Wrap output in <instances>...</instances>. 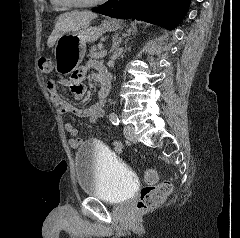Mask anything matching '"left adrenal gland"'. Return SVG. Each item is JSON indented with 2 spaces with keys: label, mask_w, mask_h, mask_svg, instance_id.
<instances>
[{
  "label": "left adrenal gland",
  "mask_w": 240,
  "mask_h": 238,
  "mask_svg": "<svg viewBox=\"0 0 240 238\" xmlns=\"http://www.w3.org/2000/svg\"><path fill=\"white\" fill-rule=\"evenodd\" d=\"M121 43V38H118V35H116L114 38H113V45H112V48H111V52H113L114 50H116L114 52V54L117 52V48L119 46V44Z\"/></svg>",
  "instance_id": "left-adrenal-gland-1"
}]
</instances>
